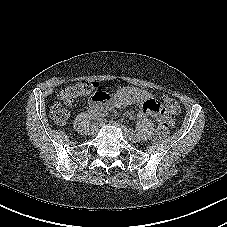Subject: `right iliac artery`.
Returning <instances> with one entry per match:
<instances>
[{"mask_svg": "<svg viewBox=\"0 0 227 227\" xmlns=\"http://www.w3.org/2000/svg\"><path fill=\"white\" fill-rule=\"evenodd\" d=\"M93 116H94L95 119H98L99 117L102 116V113H96V114H94Z\"/></svg>", "mask_w": 227, "mask_h": 227, "instance_id": "1", "label": "right iliac artery"}]
</instances>
